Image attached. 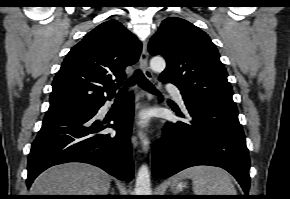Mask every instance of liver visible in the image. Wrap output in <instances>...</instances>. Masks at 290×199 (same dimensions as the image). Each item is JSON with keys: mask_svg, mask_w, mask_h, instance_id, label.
<instances>
[{"mask_svg": "<svg viewBox=\"0 0 290 199\" xmlns=\"http://www.w3.org/2000/svg\"><path fill=\"white\" fill-rule=\"evenodd\" d=\"M110 176L84 163L54 166L36 178L31 195H107Z\"/></svg>", "mask_w": 290, "mask_h": 199, "instance_id": "liver-1", "label": "liver"}]
</instances>
